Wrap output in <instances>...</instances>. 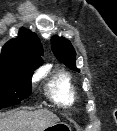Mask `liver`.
Masks as SVG:
<instances>
[{
  "mask_svg": "<svg viewBox=\"0 0 117 131\" xmlns=\"http://www.w3.org/2000/svg\"><path fill=\"white\" fill-rule=\"evenodd\" d=\"M58 121L59 118L48 110L18 111L0 118V131H43Z\"/></svg>",
  "mask_w": 117,
  "mask_h": 131,
  "instance_id": "obj_1",
  "label": "liver"
}]
</instances>
